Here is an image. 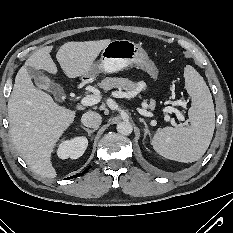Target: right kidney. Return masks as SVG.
<instances>
[{
    "label": "right kidney",
    "mask_w": 233,
    "mask_h": 233,
    "mask_svg": "<svg viewBox=\"0 0 233 233\" xmlns=\"http://www.w3.org/2000/svg\"><path fill=\"white\" fill-rule=\"evenodd\" d=\"M88 146L86 137H75L71 140L63 141L57 150V155L61 159H77L81 157Z\"/></svg>",
    "instance_id": "right-kidney-1"
}]
</instances>
